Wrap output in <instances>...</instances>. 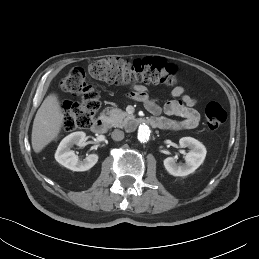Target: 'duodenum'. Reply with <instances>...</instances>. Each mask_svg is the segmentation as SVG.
Masks as SVG:
<instances>
[{
  "label": "duodenum",
  "mask_w": 259,
  "mask_h": 259,
  "mask_svg": "<svg viewBox=\"0 0 259 259\" xmlns=\"http://www.w3.org/2000/svg\"><path fill=\"white\" fill-rule=\"evenodd\" d=\"M133 124L135 126H140L143 124H148L154 128H163L164 122L160 118L151 117L147 120L141 118H134ZM107 130V121L103 117L97 118L92 124V131L96 134H103Z\"/></svg>",
  "instance_id": "duodenum-1"
}]
</instances>
